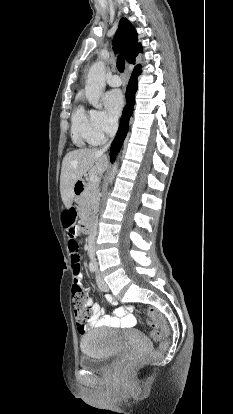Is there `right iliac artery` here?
Masks as SVG:
<instances>
[{
  "label": "right iliac artery",
  "instance_id": "right-iliac-artery-1",
  "mask_svg": "<svg viewBox=\"0 0 233 414\" xmlns=\"http://www.w3.org/2000/svg\"><path fill=\"white\" fill-rule=\"evenodd\" d=\"M89 269H90V271L93 273V272H95L96 271V267H95V265L91 262V263H89Z\"/></svg>",
  "mask_w": 233,
  "mask_h": 414
}]
</instances>
